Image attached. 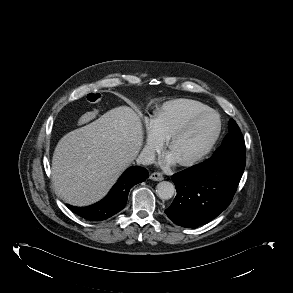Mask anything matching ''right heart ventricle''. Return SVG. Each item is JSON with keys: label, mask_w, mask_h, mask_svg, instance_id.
<instances>
[{"label": "right heart ventricle", "mask_w": 293, "mask_h": 293, "mask_svg": "<svg viewBox=\"0 0 293 293\" xmlns=\"http://www.w3.org/2000/svg\"><path fill=\"white\" fill-rule=\"evenodd\" d=\"M208 109L207 105L197 100L179 98L167 101L158 107L152 120L160 136L167 139L192 115Z\"/></svg>", "instance_id": "right-heart-ventricle-1"}]
</instances>
